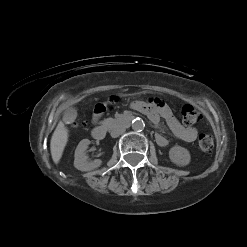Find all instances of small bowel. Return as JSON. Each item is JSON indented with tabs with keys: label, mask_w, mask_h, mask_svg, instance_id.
<instances>
[{
	"label": "small bowel",
	"mask_w": 247,
	"mask_h": 247,
	"mask_svg": "<svg viewBox=\"0 0 247 247\" xmlns=\"http://www.w3.org/2000/svg\"><path fill=\"white\" fill-rule=\"evenodd\" d=\"M118 100L116 97L111 96L108 98L107 103H98L95 106L96 113L94 114V121H97L100 114L104 112L110 113L113 111ZM132 107L141 113L145 114L154 125H158L161 119L167 123L169 130L180 140L184 142H193L198 136V131L195 127H185L174 116L173 112L164 102L160 100H153L150 102L136 101ZM156 142L159 146H166L168 140L160 133L155 135Z\"/></svg>",
	"instance_id": "1"
}]
</instances>
